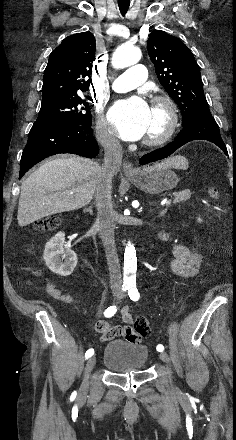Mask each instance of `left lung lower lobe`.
I'll list each match as a JSON object with an SVG mask.
<instances>
[{"mask_svg":"<svg viewBox=\"0 0 236 440\" xmlns=\"http://www.w3.org/2000/svg\"><path fill=\"white\" fill-rule=\"evenodd\" d=\"M193 140H207L220 147L225 155H228L227 148L221 138L219 127L212 117L210 111L198 114L183 129L173 142L164 148L157 149L151 153L144 155L139 163L145 165L150 162L164 159L171 155L182 145Z\"/></svg>","mask_w":236,"mask_h":440,"instance_id":"left-lung-lower-lobe-1","label":"left lung lower lobe"}]
</instances>
